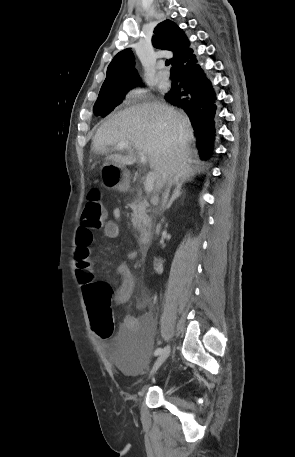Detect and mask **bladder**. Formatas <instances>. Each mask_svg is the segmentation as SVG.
<instances>
[{
  "label": "bladder",
  "instance_id": "31cf9c89",
  "mask_svg": "<svg viewBox=\"0 0 295 457\" xmlns=\"http://www.w3.org/2000/svg\"><path fill=\"white\" fill-rule=\"evenodd\" d=\"M153 338H114L113 356L116 366L131 374L137 373L144 365L154 364L157 354L153 347Z\"/></svg>",
  "mask_w": 295,
  "mask_h": 457
}]
</instances>
